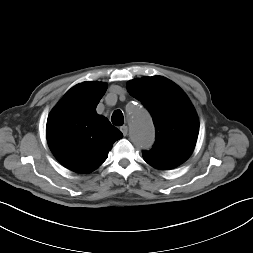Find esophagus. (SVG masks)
<instances>
[{
    "instance_id": "1",
    "label": "esophagus",
    "mask_w": 253,
    "mask_h": 253,
    "mask_svg": "<svg viewBox=\"0 0 253 253\" xmlns=\"http://www.w3.org/2000/svg\"><path fill=\"white\" fill-rule=\"evenodd\" d=\"M121 132L123 133L124 136H126L128 134V127L127 126H122L120 128Z\"/></svg>"
}]
</instances>
